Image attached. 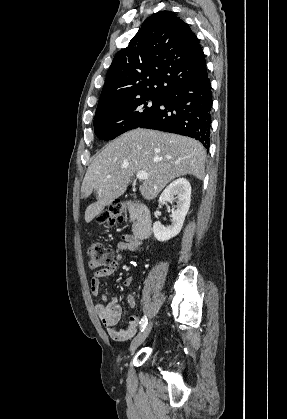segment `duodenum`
Listing matches in <instances>:
<instances>
[{
  "instance_id": "1",
  "label": "duodenum",
  "mask_w": 287,
  "mask_h": 419,
  "mask_svg": "<svg viewBox=\"0 0 287 419\" xmlns=\"http://www.w3.org/2000/svg\"><path fill=\"white\" fill-rule=\"evenodd\" d=\"M127 208L134 221V235L139 240H146L152 233V220L149 209L141 203H129Z\"/></svg>"
}]
</instances>
